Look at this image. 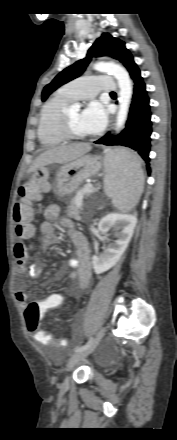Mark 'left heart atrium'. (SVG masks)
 <instances>
[{"instance_id":"left-heart-atrium-1","label":"left heart atrium","mask_w":177,"mask_h":440,"mask_svg":"<svg viewBox=\"0 0 177 440\" xmlns=\"http://www.w3.org/2000/svg\"><path fill=\"white\" fill-rule=\"evenodd\" d=\"M107 122V112L99 102H91L80 113V125L86 134H97L101 132Z\"/></svg>"}]
</instances>
